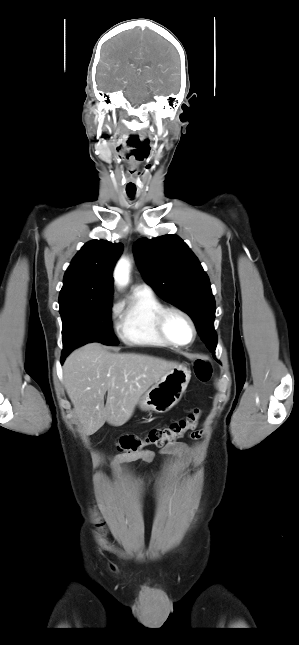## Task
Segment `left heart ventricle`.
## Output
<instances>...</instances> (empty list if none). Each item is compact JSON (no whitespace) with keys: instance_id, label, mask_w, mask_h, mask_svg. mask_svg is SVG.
<instances>
[{"instance_id":"b2bd125f","label":"left heart ventricle","mask_w":299,"mask_h":645,"mask_svg":"<svg viewBox=\"0 0 299 645\" xmlns=\"http://www.w3.org/2000/svg\"><path fill=\"white\" fill-rule=\"evenodd\" d=\"M167 331L177 342L186 343L191 339V328L188 322L178 314H171L167 320Z\"/></svg>"}]
</instances>
